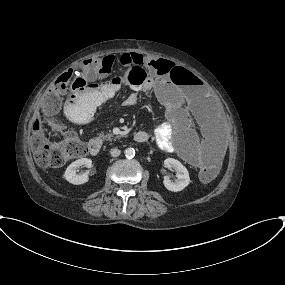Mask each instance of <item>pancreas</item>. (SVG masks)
Returning <instances> with one entry per match:
<instances>
[{"mask_svg": "<svg viewBox=\"0 0 285 285\" xmlns=\"http://www.w3.org/2000/svg\"><path fill=\"white\" fill-rule=\"evenodd\" d=\"M112 137H113V135L112 134H100L99 135V139H101V140H111L112 139ZM116 138H118V137H115L114 139H116Z\"/></svg>", "mask_w": 285, "mask_h": 285, "instance_id": "pancreas-1", "label": "pancreas"}]
</instances>
